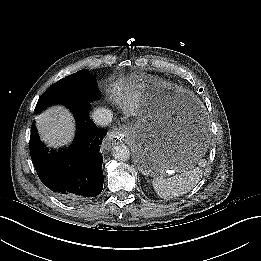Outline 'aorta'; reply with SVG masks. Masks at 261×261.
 Masks as SVG:
<instances>
[{"label": "aorta", "instance_id": "obj_1", "mask_svg": "<svg viewBox=\"0 0 261 261\" xmlns=\"http://www.w3.org/2000/svg\"><path fill=\"white\" fill-rule=\"evenodd\" d=\"M112 154L118 161H127L130 158L129 148L124 144L116 145L112 150Z\"/></svg>", "mask_w": 261, "mask_h": 261}]
</instances>
